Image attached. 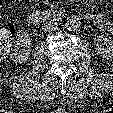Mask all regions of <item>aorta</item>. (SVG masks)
<instances>
[{
    "label": "aorta",
    "mask_w": 113,
    "mask_h": 113,
    "mask_svg": "<svg viewBox=\"0 0 113 113\" xmlns=\"http://www.w3.org/2000/svg\"><path fill=\"white\" fill-rule=\"evenodd\" d=\"M81 21L75 16L68 17L65 21V27L69 31H76L79 29Z\"/></svg>",
    "instance_id": "aorta-1"
}]
</instances>
